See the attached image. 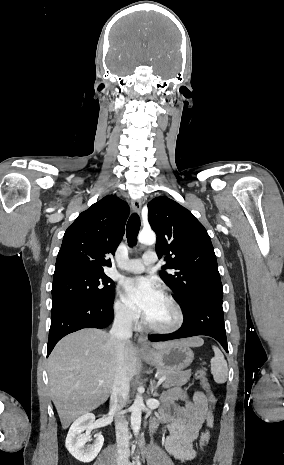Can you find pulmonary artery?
Listing matches in <instances>:
<instances>
[{
  "mask_svg": "<svg viewBox=\"0 0 284 465\" xmlns=\"http://www.w3.org/2000/svg\"><path fill=\"white\" fill-rule=\"evenodd\" d=\"M157 261V252L150 250L139 259H132L127 262L119 264V267L127 272L138 274L146 270V268Z\"/></svg>",
  "mask_w": 284,
  "mask_h": 465,
  "instance_id": "pulmonary-artery-1",
  "label": "pulmonary artery"
}]
</instances>
